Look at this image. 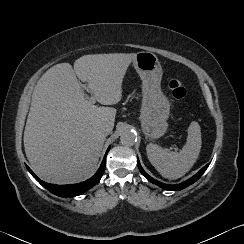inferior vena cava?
<instances>
[{
	"instance_id": "602c4592",
	"label": "inferior vena cava",
	"mask_w": 244,
	"mask_h": 244,
	"mask_svg": "<svg viewBox=\"0 0 244 244\" xmlns=\"http://www.w3.org/2000/svg\"><path fill=\"white\" fill-rule=\"evenodd\" d=\"M99 131L104 135L107 136L111 133L112 128L107 123H102L99 125Z\"/></svg>"
}]
</instances>
